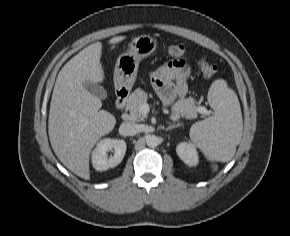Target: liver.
I'll return each instance as SVG.
<instances>
[{
  "label": "liver",
  "instance_id": "obj_1",
  "mask_svg": "<svg viewBox=\"0 0 290 236\" xmlns=\"http://www.w3.org/2000/svg\"><path fill=\"white\" fill-rule=\"evenodd\" d=\"M125 36H116L117 44ZM102 43H93L71 58L60 70L52 93L48 134L58 159L77 176L89 180V156L96 142L110 133L115 117L102 107L101 100L84 83H101L105 75L100 62Z\"/></svg>",
  "mask_w": 290,
  "mask_h": 236
}]
</instances>
